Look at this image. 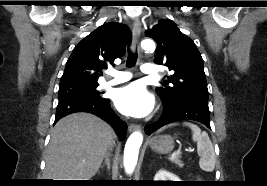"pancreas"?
I'll use <instances>...</instances> for the list:
<instances>
[{"instance_id": "cf45deb5", "label": "pancreas", "mask_w": 267, "mask_h": 186, "mask_svg": "<svg viewBox=\"0 0 267 186\" xmlns=\"http://www.w3.org/2000/svg\"><path fill=\"white\" fill-rule=\"evenodd\" d=\"M172 162L181 168L184 166L183 162L180 160V156H176L174 159H172Z\"/></svg>"}]
</instances>
